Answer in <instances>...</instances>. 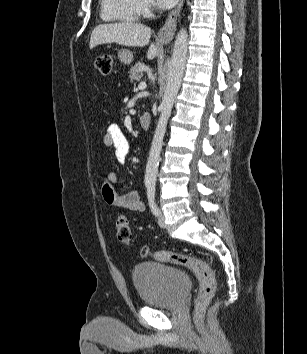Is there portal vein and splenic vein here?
Segmentation results:
<instances>
[{
    "label": "portal vein and splenic vein",
    "instance_id": "obj_1",
    "mask_svg": "<svg viewBox=\"0 0 307 354\" xmlns=\"http://www.w3.org/2000/svg\"><path fill=\"white\" fill-rule=\"evenodd\" d=\"M146 88V83L145 82H140L138 85V89L143 90Z\"/></svg>",
    "mask_w": 307,
    "mask_h": 354
}]
</instances>
